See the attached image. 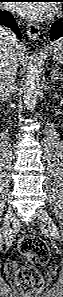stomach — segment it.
Masks as SVG:
<instances>
[{
  "mask_svg": "<svg viewBox=\"0 0 63 297\" xmlns=\"http://www.w3.org/2000/svg\"><path fill=\"white\" fill-rule=\"evenodd\" d=\"M49 56L52 60L63 63V40L54 43L50 49Z\"/></svg>",
  "mask_w": 63,
  "mask_h": 297,
  "instance_id": "stomach-1",
  "label": "stomach"
}]
</instances>
